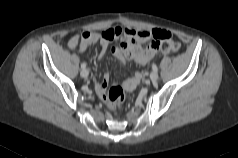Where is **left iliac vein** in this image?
Wrapping results in <instances>:
<instances>
[{
	"label": "left iliac vein",
	"mask_w": 238,
	"mask_h": 158,
	"mask_svg": "<svg viewBox=\"0 0 238 158\" xmlns=\"http://www.w3.org/2000/svg\"><path fill=\"white\" fill-rule=\"evenodd\" d=\"M158 77H159V75H158L157 71H152L151 72V74H150L151 81H153V82L157 81Z\"/></svg>",
	"instance_id": "4c4485c4"
}]
</instances>
